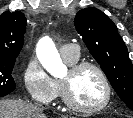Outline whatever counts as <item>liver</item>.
<instances>
[{
	"label": "liver",
	"instance_id": "1",
	"mask_svg": "<svg viewBox=\"0 0 133 118\" xmlns=\"http://www.w3.org/2000/svg\"><path fill=\"white\" fill-rule=\"evenodd\" d=\"M0 118H46L42 108L14 99L0 100Z\"/></svg>",
	"mask_w": 133,
	"mask_h": 118
}]
</instances>
